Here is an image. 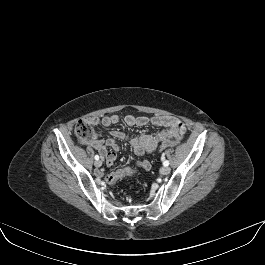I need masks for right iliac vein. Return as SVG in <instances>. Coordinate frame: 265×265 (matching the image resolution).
Masks as SVG:
<instances>
[{"label": "right iliac vein", "mask_w": 265, "mask_h": 265, "mask_svg": "<svg viewBox=\"0 0 265 265\" xmlns=\"http://www.w3.org/2000/svg\"><path fill=\"white\" fill-rule=\"evenodd\" d=\"M94 165L98 168L102 165V162L100 160H96Z\"/></svg>", "instance_id": "1"}]
</instances>
